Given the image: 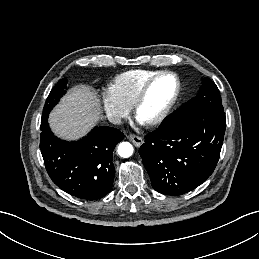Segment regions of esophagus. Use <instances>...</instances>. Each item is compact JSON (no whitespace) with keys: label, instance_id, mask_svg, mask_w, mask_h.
<instances>
[{"label":"esophagus","instance_id":"esophagus-1","mask_svg":"<svg viewBox=\"0 0 259 259\" xmlns=\"http://www.w3.org/2000/svg\"><path fill=\"white\" fill-rule=\"evenodd\" d=\"M127 138L134 143L136 147H140L143 143V139L137 135L130 134L127 136Z\"/></svg>","mask_w":259,"mask_h":259}]
</instances>
